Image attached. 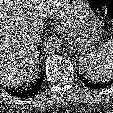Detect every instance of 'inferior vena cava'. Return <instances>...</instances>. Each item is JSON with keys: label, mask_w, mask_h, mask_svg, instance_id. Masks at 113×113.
I'll return each instance as SVG.
<instances>
[{"label": "inferior vena cava", "mask_w": 113, "mask_h": 113, "mask_svg": "<svg viewBox=\"0 0 113 113\" xmlns=\"http://www.w3.org/2000/svg\"><path fill=\"white\" fill-rule=\"evenodd\" d=\"M43 28V23L39 22L36 24V33H38L39 30H41Z\"/></svg>", "instance_id": "602c4592"}]
</instances>
